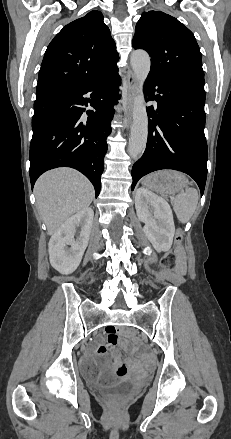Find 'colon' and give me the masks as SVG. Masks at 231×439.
<instances>
[{
	"label": "colon",
	"mask_w": 231,
	"mask_h": 439,
	"mask_svg": "<svg viewBox=\"0 0 231 439\" xmlns=\"http://www.w3.org/2000/svg\"><path fill=\"white\" fill-rule=\"evenodd\" d=\"M181 243H182V232L178 231L176 234V237H175L174 251L165 255L163 260H162V265L165 269H170V270L175 269V268L181 269L184 266V254H183V251L181 248ZM128 335L132 339L138 338V334L134 330H129ZM125 371H126V368L124 366H122L121 368L118 369L119 374H123V373H125ZM113 402H114V404H119L120 398L115 397L113 399Z\"/></svg>",
	"instance_id": "1"
}]
</instances>
